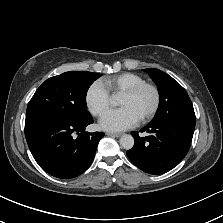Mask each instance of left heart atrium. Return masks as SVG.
Here are the masks:
<instances>
[{
  "label": "left heart atrium",
  "instance_id": "1",
  "mask_svg": "<svg viewBox=\"0 0 223 223\" xmlns=\"http://www.w3.org/2000/svg\"><path fill=\"white\" fill-rule=\"evenodd\" d=\"M140 118L129 107H121L104 114L100 120L103 129L122 131L136 125Z\"/></svg>",
  "mask_w": 223,
  "mask_h": 223
}]
</instances>
